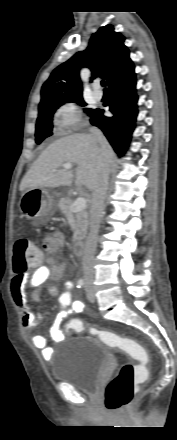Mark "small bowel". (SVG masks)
I'll return each mask as SVG.
<instances>
[{"instance_id":"obj_1","label":"small bowel","mask_w":177,"mask_h":440,"mask_svg":"<svg viewBox=\"0 0 177 440\" xmlns=\"http://www.w3.org/2000/svg\"><path fill=\"white\" fill-rule=\"evenodd\" d=\"M65 245V236L59 232H51L43 242L46 253L50 256L61 250ZM65 265L57 263L52 257L46 261L37 264L35 270L29 273H16L10 282V293L14 303L22 314V325L25 328H33L40 321L42 315L32 310L29 302L27 289L33 290L32 298L35 301L40 300V289L46 286L47 292L51 296L58 297L60 311L54 318L50 335L54 342H60L64 339V333L60 326L62 322L72 314H79L85 311V305L81 301L74 300L72 296L73 282L67 280L64 283V291L59 293L56 285L64 274ZM33 346L41 351L45 359H49L52 354L51 347L48 346L47 338L37 334L32 337Z\"/></svg>"}]
</instances>
